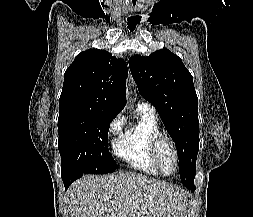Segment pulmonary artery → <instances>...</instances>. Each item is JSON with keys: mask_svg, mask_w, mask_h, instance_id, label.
I'll return each instance as SVG.
<instances>
[{"mask_svg": "<svg viewBox=\"0 0 253 217\" xmlns=\"http://www.w3.org/2000/svg\"><path fill=\"white\" fill-rule=\"evenodd\" d=\"M138 106L141 107V108H144V109H146L148 111H150L153 114H155L154 108L150 104H148V103L141 102V103H139Z\"/></svg>", "mask_w": 253, "mask_h": 217, "instance_id": "1", "label": "pulmonary artery"}]
</instances>
